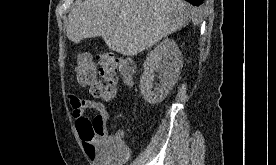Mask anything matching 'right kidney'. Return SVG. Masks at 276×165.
<instances>
[{"mask_svg":"<svg viewBox=\"0 0 276 165\" xmlns=\"http://www.w3.org/2000/svg\"><path fill=\"white\" fill-rule=\"evenodd\" d=\"M182 53L172 39H164L148 54L143 63L140 92L149 104L162 102L175 85L182 67ZM156 73L159 83L154 88Z\"/></svg>","mask_w":276,"mask_h":165,"instance_id":"1","label":"right kidney"}]
</instances>
